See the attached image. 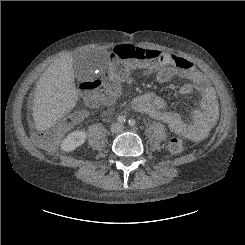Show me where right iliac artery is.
I'll list each match as a JSON object with an SVG mask.
<instances>
[{
  "label": "right iliac artery",
  "mask_w": 245,
  "mask_h": 245,
  "mask_svg": "<svg viewBox=\"0 0 245 245\" xmlns=\"http://www.w3.org/2000/svg\"><path fill=\"white\" fill-rule=\"evenodd\" d=\"M117 121L122 124V123H124L126 121V118L124 116H119L117 118Z\"/></svg>",
  "instance_id": "obj_1"
}]
</instances>
